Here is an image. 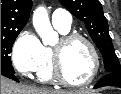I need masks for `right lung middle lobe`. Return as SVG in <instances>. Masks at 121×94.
<instances>
[{
	"label": "right lung middle lobe",
	"instance_id": "obj_1",
	"mask_svg": "<svg viewBox=\"0 0 121 94\" xmlns=\"http://www.w3.org/2000/svg\"><path fill=\"white\" fill-rule=\"evenodd\" d=\"M20 31L21 30L1 34V72L14 74L9 54L11 53L12 45Z\"/></svg>",
	"mask_w": 121,
	"mask_h": 94
}]
</instances>
